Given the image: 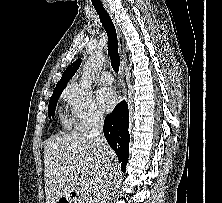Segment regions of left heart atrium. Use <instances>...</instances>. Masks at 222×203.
<instances>
[{
    "instance_id": "1",
    "label": "left heart atrium",
    "mask_w": 222,
    "mask_h": 203,
    "mask_svg": "<svg viewBox=\"0 0 222 203\" xmlns=\"http://www.w3.org/2000/svg\"><path fill=\"white\" fill-rule=\"evenodd\" d=\"M99 106L104 111H110L117 102V94L111 87H102L97 91Z\"/></svg>"
}]
</instances>
